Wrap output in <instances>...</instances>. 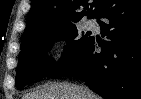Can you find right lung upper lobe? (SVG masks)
Wrapping results in <instances>:
<instances>
[{"label": "right lung upper lobe", "mask_w": 141, "mask_h": 99, "mask_svg": "<svg viewBox=\"0 0 141 99\" xmlns=\"http://www.w3.org/2000/svg\"><path fill=\"white\" fill-rule=\"evenodd\" d=\"M113 0H32L22 44L73 26L83 16L98 18ZM83 11L77 12L78 9Z\"/></svg>", "instance_id": "right-lung-upper-lobe-1"}]
</instances>
